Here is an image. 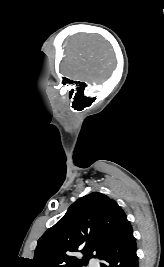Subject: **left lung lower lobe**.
Segmentation results:
<instances>
[{
	"instance_id": "1",
	"label": "left lung lower lobe",
	"mask_w": 164,
	"mask_h": 267,
	"mask_svg": "<svg viewBox=\"0 0 164 267\" xmlns=\"http://www.w3.org/2000/svg\"><path fill=\"white\" fill-rule=\"evenodd\" d=\"M101 267H138L136 242L127 221L100 257Z\"/></svg>"
}]
</instances>
